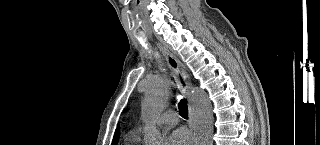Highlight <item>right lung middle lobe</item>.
I'll return each instance as SVG.
<instances>
[{"instance_id":"obj_1","label":"right lung middle lobe","mask_w":320,"mask_h":145,"mask_svg":"<svg viewBox=\"0 0 320 145\" xmlns=\"http://www.w3.org/2000/svg\"><path fill=\"white\" fill-rule=\"evenodd\" d=\"M115 144H116L115 142L112 143V145H115Z\"/></svg>"}]
</instances>
